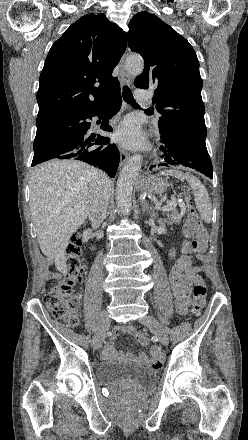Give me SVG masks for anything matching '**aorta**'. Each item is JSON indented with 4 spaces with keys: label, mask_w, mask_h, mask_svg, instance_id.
Masks as SVG:
<instances>
[{
    "label": "aorta",
    "mask_w": 248,
    "mask_h": 440,
    "mask_svg": "<svg viewBox=\"0 0 248 440\" xmlns=\"http://www.w3.org/2000/svg\"><path fill=\"white\" fill-rule=\"evenodd\" d=\"M126 70L132 75H139L144 69V61L139 56H130L125 62ZM142 156L133 155L121 169L116 187V200L120 211L128 214L132 206V191L141 168Z\"/></svg>",
    "instance_id": "obj_1"
}]
</instances>
